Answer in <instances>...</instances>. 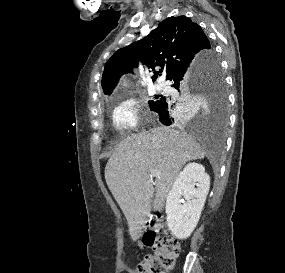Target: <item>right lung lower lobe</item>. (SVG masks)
<instances>
[{"label": "right lung lower lobe", "mask_w": 285, "mask_h": 273, "mask_svg": "<svg viewBox=\"0 0 285 273\" xmlns=\"http://www.w3.org/2000/svg\"><path fill=\"white\" fill-rule=\"evenodd\" d=\"M208 63V57H202L192 68L187 69L176 75L170 81L173 82L172 87L179 92H184L189 90L192 86L196 85L199 81L200 76L204 73ZM183 109H181L180 114L175 115L170 108L169 101L160 100L159 103L152 109V111L158 113L160 116V121L165 125H171L176 121H179L183 114Z\"/></svg>", "instance_id": "1"}]
</instances>
